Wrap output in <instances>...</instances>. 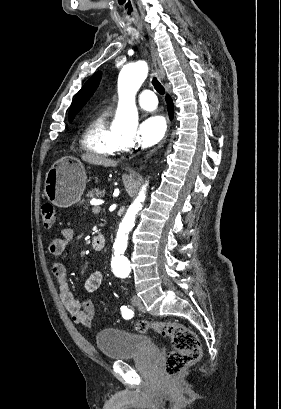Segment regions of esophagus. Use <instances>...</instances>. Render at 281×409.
<instances>
[{
  "label": "esophagus",
  "mask_w": 281,
  "mask_h": 409,
  "mask_svg": "<svg viewBox=\"0 0 281 409\" xmlns=\"http://www.w3.org/2000/svg\"><path fill=\"white\" fill-rule=\"evenodd\" d=\"M151 55H152V60H153V64H154L155 70H156V72H157L159 78H160L161 80H164V78H165V71H164V68H163V66H162V64H161V60H160V58H159V55H158L157 50H156V48H155V45H154L153 43H151ZM160 146H161V145H160ZM160 146L156 147L155 149H152L151 152H149V154H148L147 157H149L150 155H152Z\"/></svg>",
  "instance_id": "esophagus-1"
}]
</instances>
